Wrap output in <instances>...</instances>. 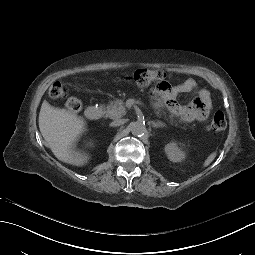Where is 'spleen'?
I'll use <instances>...</instances> for the list:
<instances>
[{
  "label": "spleen",
  "instance_id": "3e777b00",
  "mask_svg": "<svg viewBox=\"0 0 255 255\" xmlns=\"http://www.w3.org/2000/svg\"><path fill=\"white\" fill-rule=\"evenodd\" d=\"M215 157H216V153H215V152L212 153V154H210V155L208 156V158L205 160L204 166H205V167L208 166V165L214 160Z\"/></svg>",
  "mask_w": 255,
  "mask_h": 255
}]
</instances>
